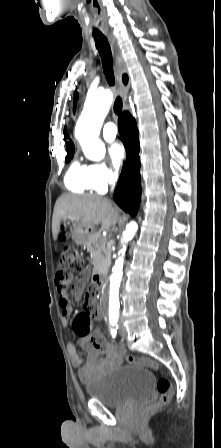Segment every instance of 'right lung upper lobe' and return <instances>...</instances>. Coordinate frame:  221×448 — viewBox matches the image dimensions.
Listing matches in <instances>:
<instances>
[{"mask_svg":"<svg viewBox=\"0 0 221 448\" xmlns=\"http://www.w3.org/2000/svg\"><path fill=\"white\" fill-rule=\"evenodd\" d=\"M128 81V77L126 75L123 76V82L125 84H127ZM68 135L66 134V131H64V139H67ZM67 153H73L74 152V145L72 143V141L70 140L69 142H67Z\"/></svg>","mask_w":221,"mask_h":448,"instance_id":"1","label":"right lung upper lobe"}]
</instances>
